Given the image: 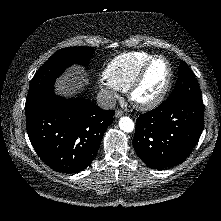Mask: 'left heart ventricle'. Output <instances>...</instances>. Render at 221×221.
Masks as SVG:
<instances>
[{
	"instance_id": "obj_1",
	"label": "left heart ventricle",
	"mask_w": 221,
	"mask_h": 221,
	"mask_svg": "<svg viewBox=\"0 0 221 221\" xmlns=\"http://www.w3.org/2000/svg\"><path fill=\"white\" fill-rule=\"evenodd\" d=\"M168 69L166 63L159 59L150 66L143 83L136 92V98L141 101L150 100L162 89Z\"/></svg>"
}]
</instances>
